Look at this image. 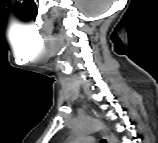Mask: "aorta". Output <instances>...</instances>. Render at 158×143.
<instances>
[{
  "label": "aorta",
  "instance_id": "aorta-1",
  "mask_svg": "<svg viewBox=\"0 0 158 143\" xmlns=\"http://www.w3.org/2000/svg\"><path fill=\"white\" fill-rule=\"evenodd\" d=\"M101 129H106V126L102 122L87 118L76 123L74 132L76 136H83ZM109 139L111 143L118 142L117 137L113 133H110Z\"/></svg>",
  "mask_w": 158,
  "mask_h": 143
}]
</instances>
